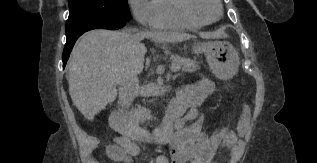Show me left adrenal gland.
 Wrapping results in <instances>:
<instances>
[{"label": "left adrenal gland", "mask_w": 317, "mask_h": 163, "mask_svg": "<svg viewBox=\"0 0 317 163\" xmlns=\"http://www.w3.org/2000/svg\"><path fill=\"white\" fill-rule=\"evenodd\" d=\"M179 75H175L172 77L173 80H175Z\"/></svg>", "instance_id": "1"}]
</instances>
